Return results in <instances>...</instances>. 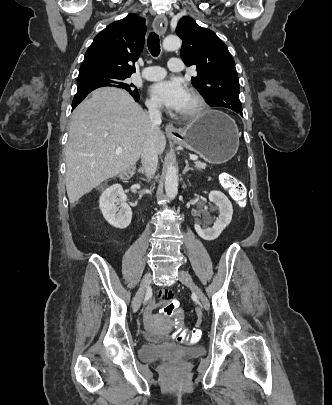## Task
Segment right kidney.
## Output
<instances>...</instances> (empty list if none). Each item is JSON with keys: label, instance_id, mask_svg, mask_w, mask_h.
Instances as JSON below:
<instances>
[{"label": "right kidney", "instance_id": "1", "mask_svg": "<svg viewBox=\"0 0 332 405\" xmlns=\"http://www.w3.org/2000/svg\"><path fill=\"white\" fill-rule=\"evenodd\" d=\"M120 184H113L101 194L99 207L105 220L115 228L125 229L132 220V210Z\"/></svg>", "mask_w": 332, "mask_h": 405}]
</instances>
